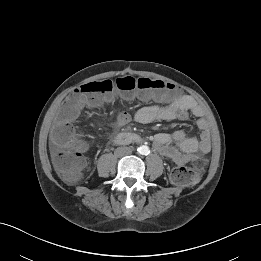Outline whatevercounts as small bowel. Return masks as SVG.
<instances>
[{
  "label": "small bowel",
  "mask_w": 261,
  "mask_h": 261,
  "mask_svg": "<svg viewBox=\"0 0 261 261\" xmlns=\"http://www.w3.org/2000/svg\"><path fill=\"white\" fill-rule=\"evenodd\" d=\"M111 95L106 98L109 99ZM195 117V123L201 131L199 137L187 135L183 130L173 133H159L153 142L159 153L176 163L193 161L198 154L208 153L211 148L209 123L204 117L203 107L191 96L184 95L169 103L150 104L139 108L134 114L120 112L113 124V129H119L132 121L140 124H150L156 121L187 120Z\"/></svg>",
  "instance_id": "obj_1"
}]
</instances>
